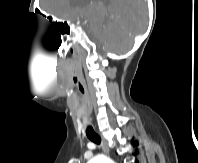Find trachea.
I'll use <instances>...</instances> for the list:
<instances>
[{"label": "trachea", "mask_w": 198, "mask_h": 163, "mask_svg": "<svg viewBox=\"0 0 198 163\" xmlns=\"http://www.w3.org/2000/svg\"><path fill=\"white\" fill-rule=\"evenodd\" d=\"M86 135L89 140L94 142L95 144H100L101 143V138L100 136L94 131V129L91 126H88L86 129Z\"/></svg>", "instance_id": "1"}]
</instances>
